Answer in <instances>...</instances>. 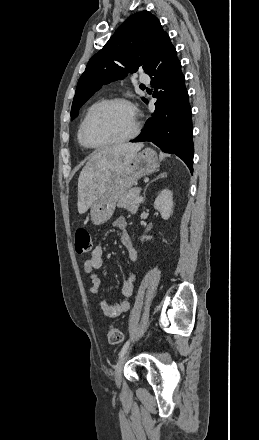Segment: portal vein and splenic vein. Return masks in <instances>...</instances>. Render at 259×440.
I'll return each mask as SVG.
<instances>
[{"instance_id": "portal-vein-and-splenic-vein-1", "label": "portal vein and splenic vein", "mask_w": 259, "mask_h": 440, "mask_svg": "<svg viewBox=\"0 0 259 440\" xmlns=\"http://www.w3.org/2000/svg\"><path fill=\"white\" fill-rule=\"evenodd\" d=\"M142 201H143L142 197L139 196V197L136 198V203H141Z\"/></svg>"}]
</instances>
